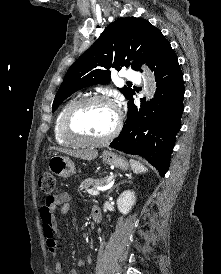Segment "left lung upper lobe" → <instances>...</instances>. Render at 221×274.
<instances>
[{
    "label": "left lung upper lobe",
    "instance_id": "left-lung-upper-lobe-1",
    "mask_svg": "<svg viewBox=\"0 0 221 274\" xmlns=\"http://www.w3.org/2000/svg\"><path fill=\"white\" fill-rule=\"evenodd\" d=\"M167 42L161 31L144 19L116 20L69 68L55 96L52 111L79 89L110 82L112 69L119 71L125 66L141 71L139 62L148 64ZM119 90L128 100L134 94L126 86Z\"/></svg>",
    "mask_w": 221,
    "mask_h": 274
}]
</instances>
